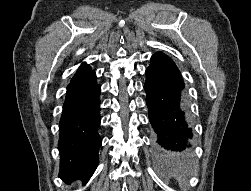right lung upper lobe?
I'll return each instance as SVG.
<instances>
[{
	"mask_svg": "<svg viewBox=\"0 0 251 191\" xmlns=\"http://www.w3.org/2000/svg\"><path fill=\"white\" fill-rule=\"evenodd\" d=\"M93 72L94 71L91 70L89 65H87L86 63H82L81 66L79 67V69L77 70L76 74L72 78L71 82L79 80V79H81V78H83Z\"/></svg>",
	"mask_w": 251,
	"mask_h": 191,
	"instance_id": "right-lung-upper-lobe-1",
	"label": "right lung upper lobe"
}]
</instances>
